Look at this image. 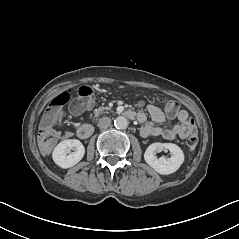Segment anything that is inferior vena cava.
<instances>
[{"label":"inferior vena cava","mask_w":239,"mask_h":239,"mask_svg":"<svg viewBox=\"0 0 239 239\" xmlns=\"http://www.w3.org/2000/svg\"><path fill=\"white\" fill-rule=\"evenodd\" d=\"M111 125V119L109 117L100 118L98 121L99 128H108Z\"/></svg>","instance_id":"inferior-vena-cava-1"}]
</instances>
